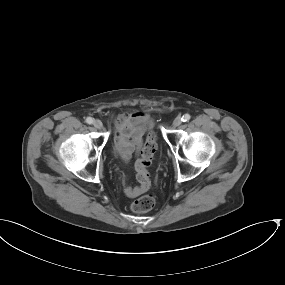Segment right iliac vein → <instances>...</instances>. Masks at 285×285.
Instances as JSON below:
<instances>
[{
	"label": "right iliac vein",
	"instance_id": "1",
	"mask_svg": "<svg viewBox=\"0 0 285 285\" xmlns=\"http://www.w3.org/2000/svg\"><path fill=\"white\" fill-rule=\"evenodd\" d=\"M93 125L96 129H102L103 124L99 119L94 120Z\"/></svg>",
	"mask_w": 285,
	"mask_h": 285
}]
</instances>
